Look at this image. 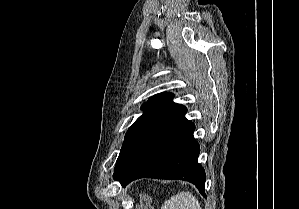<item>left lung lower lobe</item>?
<instances>
[{
	"label": "left lung lower lobe",
	"instance_id": "obj_1",
	"mask_svg": "<svg viewBox=\"0 0 299 209\" xmlns=\"http://www.w3.org/2000/svg\"><path fill=\"white\" fill-rule=\"evenodd\" d=\"M186 112L170 100L139 124L123 143L113 178L123 187L143 177L181 179L195 184L206 197V174L197 162L200 147Z\"/></svg>",
	"mask_w": 299,
	"mask_h": 209
}]
</instances>
